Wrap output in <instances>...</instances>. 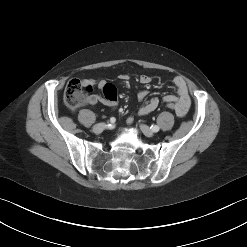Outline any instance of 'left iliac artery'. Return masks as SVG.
<instances>
[{
	"label": "left iliac artery",
	"mask_w": 247,
	"mask_h": 247,
	"mask_svg": "<svg viewBox=\"0 0 247 247\" xmlns=\"http://www.w3.org/2000/svg\"><path fill=\"white\" fill-rule=\"evenodd\" d=\"M151 129H152L153 132H158L160 130V127L157 126V125H152Z\"/></svg>",
	"instance_id": "1"
}]
</instances>
